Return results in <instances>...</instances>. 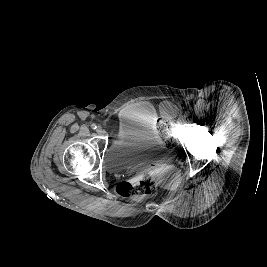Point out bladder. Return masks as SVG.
Instances as JSON below:
<instances>
[{
  "mask_svg": "<svg viewBox=\"0 0 267 267\" xmlns=\"http://www.w3.org/2000/svg\"><path fill=\"white\" fill-rule=\"evenodd\" d=\"M160 143V135L148 115L139 120L123 115L118 136L106 152V168L113 173L135 169L153 157Z\"/></svg>",
  "mask_w": 267,
  "mask_h": 267,
  "instance_id": "31cf9c89",
  "label": "bladder"
}]
</instances>
